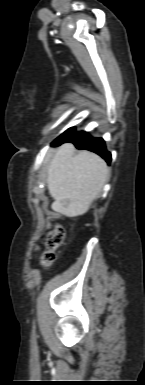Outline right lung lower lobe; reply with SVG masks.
<instances>
[{
  "mask_svg": "<svg viewBox=\"0 0 145 385\" xmlns=\"http://www.w3.org/2000/svg\"><path fill=\"white\" fill-rule=\"evenodd\" d=\"M65 142L73 143L78 149H86L99 154L108 164L111 162V154L106 150L105 142L102 138H94L87 132H75V128H70L65 133L56 138L54 146Z\"/></svg>",
  "mask_w": 145,
  "mask_h": 385,
  "instance_id": "98d812e1",
  "label": "right lung lower lobe"
}]
</instances>
